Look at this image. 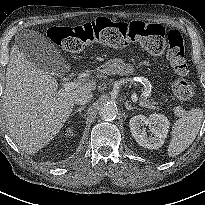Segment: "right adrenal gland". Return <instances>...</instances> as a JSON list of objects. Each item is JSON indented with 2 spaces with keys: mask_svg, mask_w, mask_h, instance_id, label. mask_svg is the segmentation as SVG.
Returning <instances> with one entry per match:
<instances>
[{
  "mask_svg": "<svg viewBox=\"0 0 205 205\" xmlns=\"http://www.w3.org/2000/svg\"><path fill=\"white\" fill-rule=\"evenodd\" d=\"M84 108H85V106H81V107L77 108V109L72 113V115H74L75 113H79V115H81V112L83 111Z\"/></svg>",
  "mask_w": 205,
  "mask_h": 205,
  "instance_id": "right-adrenal-gland-1",
  "label": "right adrenal gland"
}]
</instances>
